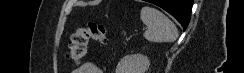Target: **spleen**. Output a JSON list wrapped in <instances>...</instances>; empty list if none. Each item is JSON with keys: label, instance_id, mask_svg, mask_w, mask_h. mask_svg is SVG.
Segmentation results:
<instances>
[{"label": "spleen", "instance_id": "1", "mask_svg": "<svg viewBox=\"0 0 244 73\" xmlns=\"http://www.w3.org/2000/svg\"><path fill=\"white\" fill-rule=\"evenodd\" d=\"M140 18L147 26L143 36L153 43L173 42L178 38L176 25L159 10L145 6L141 9Z\"/></svg>", "mask_w": 244, "mask_h": 73}]
</instances>
